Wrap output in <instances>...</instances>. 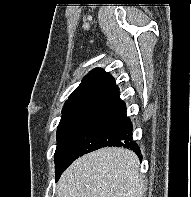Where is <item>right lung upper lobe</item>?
<instances>
[{"instance_id": "cb5924a9", "label": "right lung upper lobe", "mask_w": 191, "mask_h": 197, "mask_svg": "<svg viewBox=\"0 0 191 197\" xmlns=\"http://www.w3.org/2000/svg\"><path fill=\"white\" fill-rule=\"evenodd\" d=\"M114 78L101 68L90 71L65 102L62 113L93 108L117 90Z\"/></svg>"}]
</instances>
